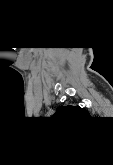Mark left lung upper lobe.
<instances>
[{"mask_svg": "<svg viewBox=\"0 0 113 165\" xmlns=\"http://www.w3.org/2000/svg\"><path fill=\"white\" fill-rule=\"evenodd\" d=\"M56 114H65L70 116L85 117L88 112L79 106H63L58 107Z\"/></svg>", "mask_w": 113, "mask_h": 165, "instance_id": "obj_1", "label": "left lung upper lobe"}]
</instances>
